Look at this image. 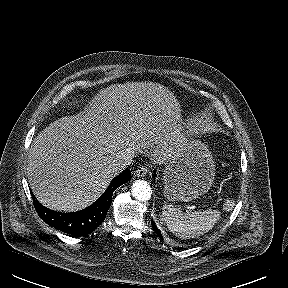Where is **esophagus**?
I'll return each instance as SVG.
<instances>
[{"label":"esophagus","mask_w":288,"mask_h":288,"mask_svg":"<svg viewBox=\"0 0 288 288\" xmlns=\"http://www.w3.org/2000/svg\"><path fill=\"white\" fill-rule=\"evenodd\" d=\"M147 173H148V169H147L146 167L142 166V167H139V168L135 171L134 175H135L136 177H144V176L147 175Z\"/></svg>","instance_id":"esophagus-1"}]
</instances>
